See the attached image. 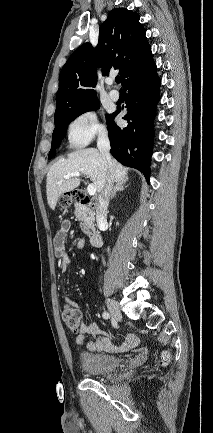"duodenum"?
<instances>
[{"instance_id":"1","label":"duodenum","mask_w":213,"mask_h":433,"mask_svg":"<svg viewBox=\"0 0 213 433\" xmlns=\"http://www.w3.org/2000/svg\"><path fill=\"white\" fill-rule=\"evenodd\" d=\"M80 205L82 206H88L91 204L89 199L83 200V201H79L78 202ZM90 243L92 246L94 247H99L102 244V237L99 231H93L91 232L90 236Z\"/></svg>"}]
</instances>
